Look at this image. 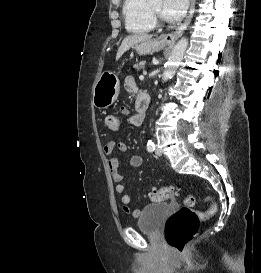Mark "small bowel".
Listing matches in <instances>:
<instances>
[{
    "label": "small bowel",
    "instance_id": "c3829d8e",
    "mask_svg": "<svg viewBox=\"0 0 261 273\" xmlns=\"http://www.w3.org/2000/svg\"><path fill=\"white\" fill-rule=\"evenodd\" d=\"M126 87L129 91H135V85L134 82L131 78H128L126 80ZM130 122L133 124V117L130 119ZM118 149L120 152H125L127 150V146L124 142L122 141H109L108 143L105 144L103 151L106 156L109 157L108 160V167L109 171L111 173V177L114 182L117 183L116 185V192L118 194H121V206L124 211L127 213H130L133 217H137L140 215V210L139 209H130L129 204L131 200V196L126 193V188L127 186L122 183L124 179L123 173L120 171V162L119 159L113 156L114 150ZM143 163V159L141 156L138 155H133L129 159V165L131 167H140Z\"/></svg>",
    "mask_w": 261,
    "mask_h": 273
}]
</instances>
